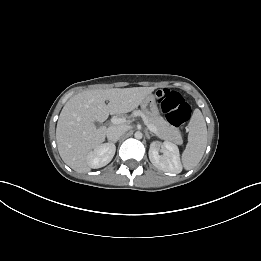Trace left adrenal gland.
Listing matches in <instances>:
<instances>
[{"label": "left adrenal gland", "mask_w": 261, "mask_h": 261, "mask_svg": "<svg viewBox=\"0 0 261 261\" xmlns=\"http://www.w3.org/2000/svg\"><path fill=\"white\" fill-rule=\"evenodd\" d=\"M152 136H154V134L153 133H150ZM146 135L149 137V134H148V132L146 131Z\"/></svg>", "instance_id": "obj_1"}]
</instances>
